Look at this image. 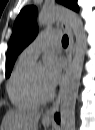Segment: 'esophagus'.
I'll return each mask as SVG.
<instances>
[{
    "label": "esophagus",
    "instance_id": "34e87169",
    "mask_svg": "<svg viewBox=\"0 0 95 130\" xmlns=\"http://www.w3.org/2000/svg\"><path fill=\"white\" fill-rule=\"evenodd\" d=\"M61 27L67 33L68 38H69V44H68V47L65 51L66 59H67V65L65 67V73H66L68 71V69L70 68L71 63H72V57H73V54H74V39H73L72 30H71L68 23L62 21ZM60 102H61V93H59L56 100L53 102V104L44 113L43 120L52 121L54 119V114L58 111L59 106H60Z\"/></svg>",
    "mask_w": 95,
    "mask_h": 130
}]
</instances>
